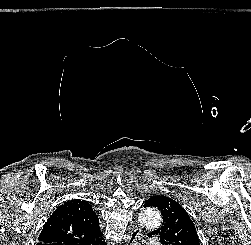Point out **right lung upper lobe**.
I'll return each instance as SVG.
<instances>
[{
    "label": "right lung upper lobe",
    "mask_w": 251,
    "mask_h": 245,
    "mask_svg": "<svg viewBox=\"0 0 251 245\" xmlns=\"http://www.w3.org/2000/svg\"><path fill=\"white\" fill-rule=\"evenodd\" d=\"M101 235L98 216L87 201L59 206L45 223L37 245H82Z\"/></svg>",
    "instance_id": "cb5924a9"
}]
</instances>
